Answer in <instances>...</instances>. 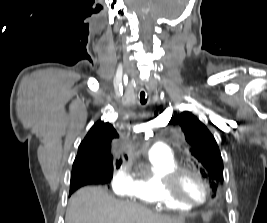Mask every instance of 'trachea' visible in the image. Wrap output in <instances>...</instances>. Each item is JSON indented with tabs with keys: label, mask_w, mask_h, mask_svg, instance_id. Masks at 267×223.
I'll return each mask as SVG.
<instances>
[{
	"label": "trachea",
	"mask_w": 267,
	"mask_h": 223,
	"mask_svg": "<svg viewBox=\"0 0 267 223\" xmlns=\"http://www.w3.org/2000/svg\"><path fill=\"white\" fill-rule=\"evenodd\" d=\"M148 97V96H147ZM146 97V92H145V90H140V93H139V98H140V102H141V104H146L147 103V98Z\"/></svg>",
	"instance_id": "3493384b"
}]
</instances>
